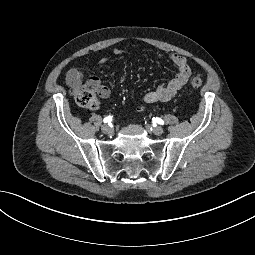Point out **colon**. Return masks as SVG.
I'll return each mask as SVG.
<instances>
[{
    "label": "colon",
    "instance_id": "colon-1",
    "mask_svg": "<svg viewBox=\"0 0 255 255\" xmlns=\"http://www.w3.org/2000/svg\"><path fill=\"white\" fill-rule=\"evenodd\" d=\"M190 84L193 89H199L203 85V80L200 77H194ZM71 95L80 107L93 108L97 104L96 94L90 86L74 87L71 89Z\"/></svg>",
    "mask_w": 255,
    "mask_h": 255
}]
</instances>
